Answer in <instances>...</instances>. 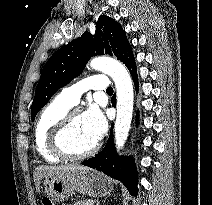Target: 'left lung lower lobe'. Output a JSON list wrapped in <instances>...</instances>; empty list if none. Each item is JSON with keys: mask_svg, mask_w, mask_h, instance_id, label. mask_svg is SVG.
Listing matches in <instances>:
<instances>
[{"mask_svg": "<svg viewBox=\"0 0 212 205\" xmlns=\"http://www.w3.org/2000/svg\"><path fill=\"white\" fill-rule=\"evenodd\" d=\"M124 64L127 66L132 75L135 87L138 88L136 63L133 57V53L130 54ZM112 130L113 124L110 137L104 149L95 155V157L82 162V164L91 168H95L98 171H102L108 176L121 181L126 186L131 195L136 196L138 194V178L135 163L133 162L132 158H126L116 154V149L112 138Z\"/></svg>", "mask_w": 212, "mask_h": 205, "instance_id": "obj_1", "label": "left lung lower lobe"}]
</instances>
